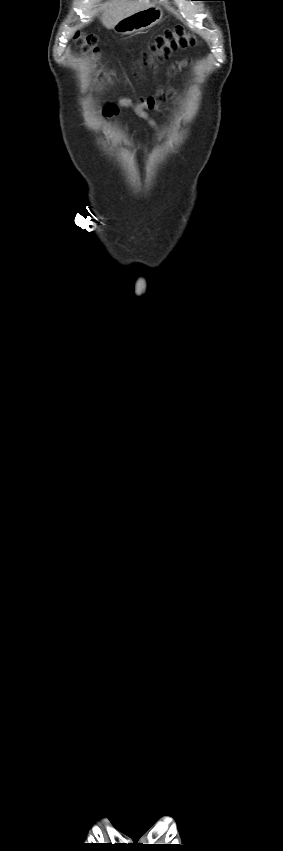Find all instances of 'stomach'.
<instances>
[{
    "label": "stomach",
    "mask_w": 283,
    "mask_h": 851,
    "mask_svg": "<svg viewBox=\"0 0 283 851\" xmlns=\"http://www.w3.org/2000/svg\"><path fill=\"white\" fill-rule=\"evenodd\" d=\"M162 17V9L152 5L124 17L113 26V30L122 35H132L152 28L162 20Z\"/></svg>",
    "instance_id": "1"
}]
</instances>
